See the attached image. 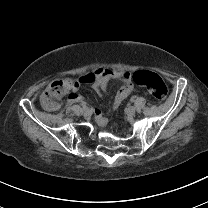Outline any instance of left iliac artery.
Here are the masks:
<instances>
[{
  "label": "left iliac artery",
  "mask_w": 208,
  "mask_h": 208,
  "mask_svg": "<svg viewBox=\"0 0 208 208\" xmlns=\"http://www.w3.org/2000/svg\"><path fill=\"white\" fill-rule=\"evenodd\" d=\"M130 101H131V102H134V101H135V100H134V97H132V98L130 99Z\"/></svg>",
  "instance_id": "obj_1"
}]
</instances>
